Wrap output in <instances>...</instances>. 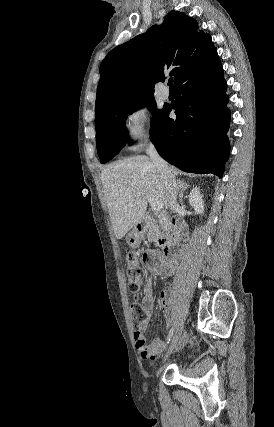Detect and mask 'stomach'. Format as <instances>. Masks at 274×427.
Here are the masks:
<instances>
[{
  "label": "stomach",
  "instance_id": "1",
  "mask_svg": "<svg viewBox=\"0 0 274 427\" xmlns=\"http://www.w3.org/2000/svg\"><path fill=\"white\" fill-rule=\"evenodd\" d=\"M144 233L142 231H139L137 227H134L132 231H129L126 235V241L130 247H138L140 245L141 239H143Z\"/></svg>",
  "mask_w": 274,
  "mask_h": 427
}]
</instances>
